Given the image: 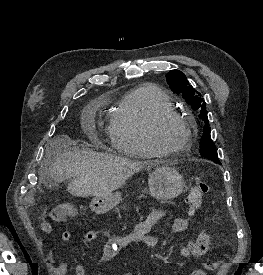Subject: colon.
<instances>
[{"mask_svg":"<svg viewBox=\"0 0 263 275\" xmlns=\"http://www.w3.org/2000/svg\"><path fill=\"white\" fill-rule=\"evenodd\" d=\"M210 187L207 182L198 180L191 187L187 204L190 213H194L201 205L202 197L208 193ZM75 215V210L72 207L65 206L56 208L51 211L49 218L54 222H62L68 216ZM212 246V237L207 233L199 234L193 241L188 243L184 248L183 254L185 256H202L206 254ZM219 261H208L204 263L200 268L194 270L191 275H206L207 271L216 270L220 266Z\"/></svg>","mask_w":263,"mask_h":275,"instance_id":"obj_1","label":"colon"}]
</instances>
